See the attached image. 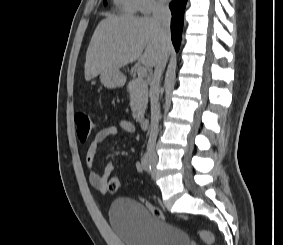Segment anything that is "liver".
<instances>
[{
  "label": "liver",
  "instance_id": "6515ba94",
  "mask_svg": "<svg viewBox=\"0 0 283 245\" xmlns=\"http://www.w3.org/2000/svg\"><path fill=\"white\" fill-rule=\"evenodd\" d=\"M172 44H163L160 26L152 18L131 15L103 19L94 31L86 52L85 79L102 71L119 69L138 60L156 67Z\"/></svg>",
  "mask_w": 283,
  "mask_h": 245
}]
</instances>
